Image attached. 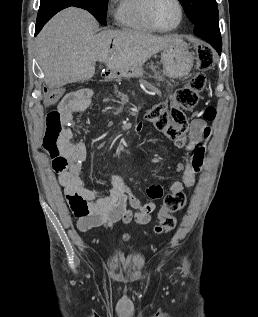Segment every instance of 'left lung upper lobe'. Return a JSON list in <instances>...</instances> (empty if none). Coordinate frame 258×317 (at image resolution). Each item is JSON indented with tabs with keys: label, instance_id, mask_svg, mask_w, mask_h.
<instances>
[{
	"label": "left lung upper lobe",
	"instance_id": "5c2ea615",
	"mask_svg": "<svg viewBox=\"0 0 258 317\" xmlns=\"http://www.w3.org/2000/svg\"><path fill=\"white\" fill-rule=\"evenodd\" d=\"M194 27L219 28L216 0H179Z\"/></svg>",
	"mask_w": 258,
	"mask_h": 317
}]
</instances>
